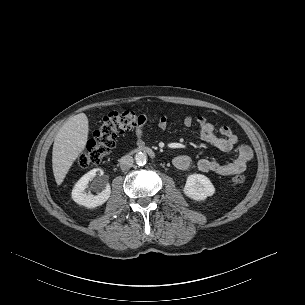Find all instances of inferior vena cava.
<instances>
[{"label":"inferior vena cava","mask_w":305,"mask_h":305,"mask_svg":"<svg viewBox=\"0 0 305 305\" xmlns=\"http://www.w3.org/2000/svg\"><path fill=\"white\" fill-rule=\"evenodd\" d=\"M133 162L132 156L125 155L119 160L120 168L122 170H129L133 166Z\"/></svg>","instance_id":"1"}]
</instances>
